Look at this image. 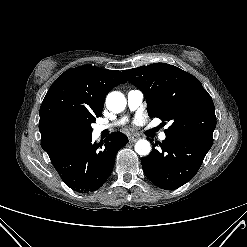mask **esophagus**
<instances>
[{
  "instance_id": "esophagus-1",
  "label": "esophagus",
  "mask_w": 247,
  "mask_h": 247,
  "mask_svg": "<svg viewBox=\"0 0 247 247\" xmlns=\"http://www.w3.org/2000/svg\"><path fill=\"white\" fill-rule=\"evenodd\" d=\"M128 139H129V142L133 143V142H136L139 139V137L136 135H130Z\"/></svg>"
}]
</instances>
